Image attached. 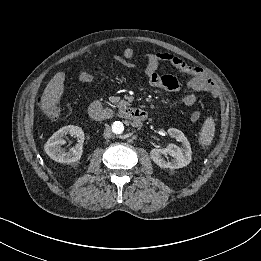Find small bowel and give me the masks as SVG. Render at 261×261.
Masks as SVG:
<instances>
[{"mask_svg": "<svg viewBox=\"0 0 261 261\" xmlns=\"http://www.w3.org/2000/svg\"><path fill=\"white\" fill-rule=\"evenodd\" d=\"M135 55L136 51L132 47H127L121 55L115 56V60L122 65L130 66V61L135 57ZM143 56L147 62L145 66V74L152 87L167 91H178L181 88V83L177 77L172 75H160L157 72L160 62H169L174 67L180 69L184 62L179 57L169 53L153 52H144ZM80 80L83 83H91L93 81V74L90 72H83L80 75ZM187 88L190 89L189 83L187 84ZM196 102L197 96L193 92L187 93L183 98V103L187 107L195 105Z\"/></svg>", "mask_w": 261, "mask_h": 261, "instance_id": "obj_1", "label": "small bowel"}]
</instances>
